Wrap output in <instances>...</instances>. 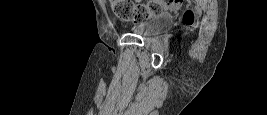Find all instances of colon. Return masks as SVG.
Segmentation results:
<instances>
[{"label":"colon","instance_id":"obj_1","mask_svg":"<svg viewBox=\"0 0 267 115\" xmlns=\"http://www.w3.org/2000/svg\"><path fill=\"white\" fill-rule=\"evenodd\" d=\"M112 8L118 18L134 23L143 22L164 12V7L160 3L136 4L129 0H113ZM184 20L187 23H192L194 20L193 13L187 11L184 14Z\"/></svg>","mask_w":267,"mask_h":115}]
</instances>
